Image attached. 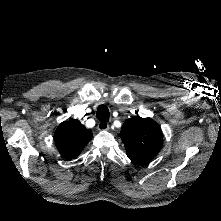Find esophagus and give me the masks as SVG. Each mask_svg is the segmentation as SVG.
<instances>
[{"label":"esophagus","mask_w":221,"mask_h":221,"mask_svg":"<svg viewBox=\"0 0 221 221\" xmlns=\"http://www.w3.org/2000/svg\"><path fill=\"white\" fill-rule=\"evenodd\" d=\"M97 129L99 131H107L109 129V124L108 123H105V122H99L97 124Z\"/></svg>","instance_id":"34e87169"}]
</instances>
